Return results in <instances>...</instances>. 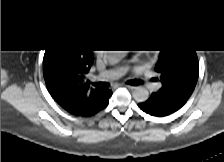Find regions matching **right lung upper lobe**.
<instances>
[{
	"label": "right lung upper lobe",
	"instance_id": "cb5924a9",
	"mask_svg": "<svg viewBox=\"0 0 224 162\" xmlns=\"http://www.w3.org/2000/svg\"><path fill=\"white\" fill-rule=\"evenodd\" d=\"M90 46L76 39L66 40L44 56L43 73L55 101L76 116H91L108 105L109 90L89 87L85 74L93 63Z\"/></svg>",
	"mask_w": 224,
	"mask_h": 162
}]
</instances>
